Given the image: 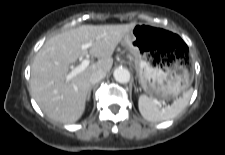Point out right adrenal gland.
<instances>
[{"label": "right adrenal gland", "instance_id": "1", "mask_svg": "<svg viewBox=\"0 0 225 155\" xmlns=\"http://www.w3.org/2000/svg\"><path fill=\"white\" fill-rule=\"evenodd\" d=\"M92 87H93V86H91V87H90V90H89V93H88V98H87V100H90V96H91V89H92Z\"/></svg>", "mask_w": 225, "mask_h": 155}]
</instances>
